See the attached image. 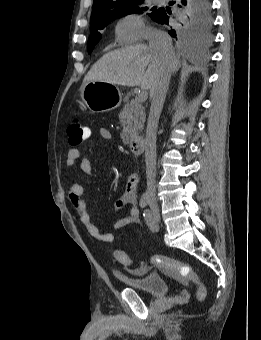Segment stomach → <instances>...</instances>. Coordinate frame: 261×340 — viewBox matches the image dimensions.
Returning a JSON list of instances; mask_svg holds the SVG:
<instances>
[{
    "label": "stomach",
    "instance_id": "stomach-1",
    "mask_svg": "<svg viewBox=\"0 0 261 340\" xmlns=\"http://www.w3.org/2000/svg\"><path fill=\"white\" fill-rule=\"evenodd\" d=\"M81 98L93 113L109 112L122 101L119 88L107 82L89 81L81 90Z\"/></svg>",
    "mask_w": 261,
    "mask_h": 340
}]
</instances>
